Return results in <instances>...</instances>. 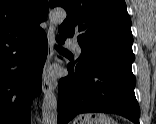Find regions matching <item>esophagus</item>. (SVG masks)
Instances as JSON below:
<instances>
[{"instance_id": "esophagus-1", "label": "esophagus", "mask_w": 156, "mask_h": 124, "mask_svg": "<svg viewBox=\"0 0 156 124\" xmlns=\"http://www.w3.org/2000/svg\"><path fill=\"white\" fill-rule=\"evenodd\" d=\"M47 40H48V55L47 60L43 69V78H42V91L47 93L52 90V83L47 75L48 67L51 63L52 56L54 53V41H55V28L53 25H50L47 31Z\"/></svg>"}]
</instances>
